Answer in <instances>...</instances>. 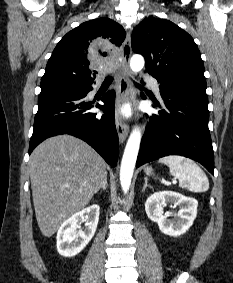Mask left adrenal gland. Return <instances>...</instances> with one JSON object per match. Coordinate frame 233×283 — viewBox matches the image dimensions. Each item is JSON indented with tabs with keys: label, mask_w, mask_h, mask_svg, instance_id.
<instances>
[{
	"label": "left adrenal gland",
	"mask_w": 233,
	"mask_h": 283,
	"mask_svg": "<svg viewBox=\"0 0 233 283\" xmlns=\"http://www.w3.org/2000/svg\"><path fill=\"white\" fill-rule=\"evenodd\" d=\"M147 187L152 188L150 185H148V179L145 178V183H144V186L142 188V192H144Z\"/></svg>",
	"instance_id": "a2214340"
}]
</instances>
